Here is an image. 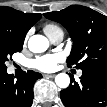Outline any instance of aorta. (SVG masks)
Returning a JSON list of instances; mask_svg holds the SVG:
<instances>
[{
	"label": "aorta",
	"mask_w": 107,
	"mask_h": 107,
	"mask_svg": "<svg viewBox=\"0 0 107 107\" xmlns=\"http://www.w3.org/2000/svg\"><path fill=\"white\" fill-rule=\"evenodd\" d=\"M49 47V41L42 35H33L28 40V48L33 53H42ZM55 83L60 88H67L70 84V77L66 73L57 74Z\"/></svg>",
	"instance_id": "aorta-1"
}]
</instances>
